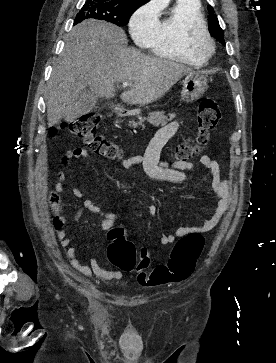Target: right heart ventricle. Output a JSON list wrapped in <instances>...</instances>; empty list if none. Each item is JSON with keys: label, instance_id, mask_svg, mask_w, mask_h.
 <instances>
[{"label": "right heart ventricle", "instance_id": "right-heart-ventricle-1", "mask_svg": "<svg viewBox=\"0 0 276 363\" xmlns=\"http://www.w3.org/2000/svg\"><path fill=\"white\" fill-rule=\"evenodd\" d=\"M192 25L206 27L204 14L198 0H176L168 15L146 46L158 57L179 61L193 67H202L204 61L191 55L185 45L188 28Z\"/></svg>", "mask_w": 276, "mask_h": 363}]
</instances>
